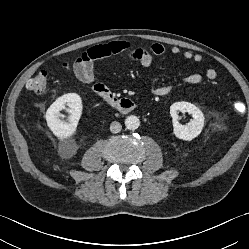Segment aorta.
I'll list each match as a JSON object with an SVG mask.
<instances>
[{
    "instance_id": "aorta-1",
    "label": "aorta",
    "mask_w": 249,
    "mask_h": 249,
    "mask_svg": "<svg viewBox=\"0 0 249 249\" xmlns=\"http://www.w3.org/2000/svg\"><path fill=\"white\" fill-rule=\"evenodd\" d=\"M125 126L127 129L135 130L140 126V120L135 115H130L125 119Z\"/></svg>"
}]
</instances>
